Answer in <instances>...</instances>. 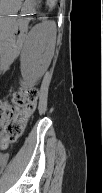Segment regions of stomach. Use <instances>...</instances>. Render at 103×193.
<instances>
[{"label": "stomach", "instance_id": "0dacf381", "mask_svg": "<svg viewBox=\"0 0 103 193\" xmlns=\"http://www.w3.org/2000/svg\"><path fill=\"white\" fill-rule=\"evenodd\" d=\"M33 0H3L5 10L8 12L18 11L28 8ZM22 9V10H23Z\"/></svg>", "mask_w": 103, "mask_h": 193}]
</instances>
